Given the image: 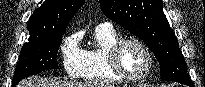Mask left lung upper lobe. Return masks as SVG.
<instances>
[{
	"instance_id": "left-lung-upper-lobe-1",
	"label": "left lung upper lobe",
	"mask_w": 205,
	"mask_h": 87,
	"mask_svg": "<svg viewBox=\"0 0 205 87\" xmlns=\"http://www.w3.org/2000/svg\"><path fill=\"white\" fill-rule=\"evenodd\" d=\"M109 19L135 34L160 64L161 79L193 87L176 36L163 12L161 0H99Z\"/></svg>"
}]
</instances>
